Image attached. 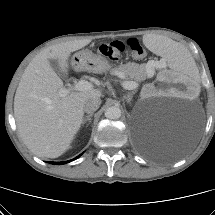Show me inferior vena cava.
<instances>
[{
    "label": "inferior vena cava",
    "instance_id": "obj_1",
    "mask_svg": "<svg viewBox=\"0 0 215 215\" xmlns=\"http://www.w3.org/2000/svg\"><path fill=\"white\" fill-rule=\"evenodd\" d=\"M100 104H101L100 98H98V97L90 98L87 101H85V103L83 105V110L86 113H93L100 107Z\"/></svg>",
    "mask_w": 215,
    "mask_h": 215
}]
</instances>
